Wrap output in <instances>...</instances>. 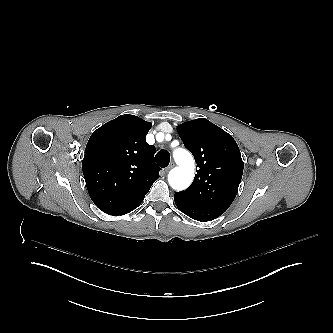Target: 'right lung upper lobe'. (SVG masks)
Listing matches in <instances>:
<instances>
[{
	"mask_svg": "<svg viewBox=\"0 0 333 333\" xmlns=\"http://www.w3.org/2000/svg\"><path fill=\"white\" fill-rule=\"evenodd\" d=\"M150 128V122L134 115H121L107 122L93 132L86 145L83 172L86 173L94 161L101 159L108 165L112 186L132 177L155 181L160 168L153 160L155 147L145 140ZM106 188H89L91 199L106 193Z\"/></svg>",
	"mask_w": 333,
	"mask_h": 333,
	"instance_id": "obj_1",
	"label": "right lung upper lobe"
}]
</instances>
